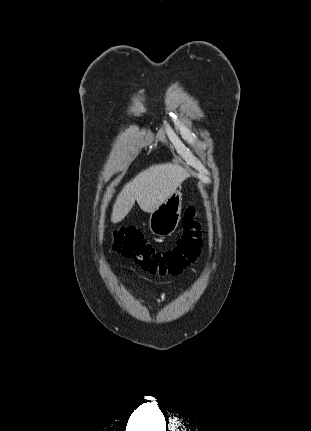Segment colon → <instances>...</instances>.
<instances>
[{
  "instance_id": "5ec220e1",
  "label": "colon",
  "mask_w": 311,
  "mask_h": 431,
  "mask_svg": "<svg viewBox=\"0 0 311 431\" xmlns=\"http://www.w3.org/2000/svg\"><path fill=\"white\" fill-rule=\"evenodd\" d=\"M182 228L176 245L164 251L156 250L139 230L120 228L113 233L112 249L152 274L178 275L197 259L202 246L201 224L192 205L184 212Z\"/></svg>"
}]
</instances>
